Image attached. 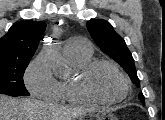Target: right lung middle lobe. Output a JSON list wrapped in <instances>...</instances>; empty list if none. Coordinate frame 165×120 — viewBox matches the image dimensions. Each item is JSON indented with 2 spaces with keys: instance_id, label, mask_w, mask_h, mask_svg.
I'll return each instance as SVG.
<instances>
[{
  "instance_id": "obj_1",
  "label": "right lung middle lobe",
  "mask_w": 165,
  "mask_h": 120,
  "mask_svg": "<svg viewBox=\"0 0 165 120\" xmlns=\"http://www.w3.org/2000/svg\"><path fill=\"white\" fill-rule=\"evenodd\" d=\"M30 59L0 60V94L10 96H29L23 75Z\"/></svg>"
}]
</instances>
